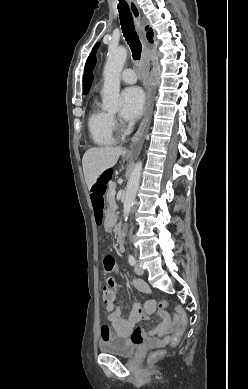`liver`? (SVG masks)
Instances as JSON below:
<instances>
[{
  "label": "liver",
  "instance_id": "6515ba94",
  "mask_svg": "<svg viewBox=\"0 0 248 389\" xmlns=\"http://www.w3.org/2000/svg\"><path fill=\"white\" fill-rule=\"evenodd\" d=\"M127 151L121 147H94L88 149L83 158L82 166L85 181L90 189L97 178L108 168L113 167L119 157L126 155Z\"/></svg>",
  "mask_w": 248,
  "mask_h": 389
}]
</instances>
